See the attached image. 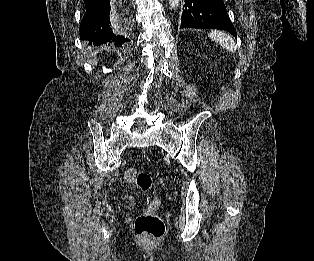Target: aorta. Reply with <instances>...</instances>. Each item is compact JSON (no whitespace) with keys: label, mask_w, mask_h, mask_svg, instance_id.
<instances>
[{"label":"aorta","mask_w":314,"mask_h":261,"mask_svg":"<svg viewBox=\"0 0 314 261\" xmlns=\"http://www.w3.org/2000/svg\"><path fill=\"white\" fill-rule=\"evenodd\" d=\"M168 2L171 8H176L179 6L180 0H168Z\"/></svg>","instance_id":"1"}]
</instances>
